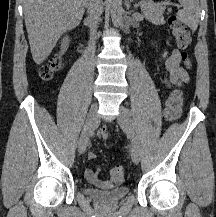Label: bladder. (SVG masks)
Segmentation results:
<instances>
[{"label": "bladder", "instance_id": "obj_1", "mask_svg": "<svg viewBox=\"0 0 216 217\" xmlns=\"http://www.w3.org/2000/svg\"><path fill=\"white\" fill-rule=\"evenodd\" d=\"M85 193L93 200L101 204H113L122 201L129 194L126 185H120L110 190H97L92 187H85Z\"/></svg>", "mask_w": 216, "mask_h": 217}]
</instances>
